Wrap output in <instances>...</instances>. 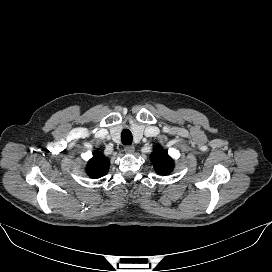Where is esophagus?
<instances>
[{
  "label": "esophagus",
  "mask_w": 272,
  "mask_h": 272,
  "mask_svg": "<svg viewBox=\"0 0 272 272\" xmlns=\"http://www.w3.org/2000/svg\"><path fill=\"white\" fill-rule=\"evenodd\" d=\"M124 151L127 154H133L135 151V147L133 145H127L125 146Z\"/></svg>",
  "instance_id": "34e87169"
}]
</instances>
